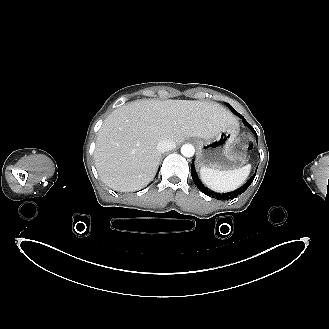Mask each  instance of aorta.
I'll return each mask as SVG.
<instances>
[{
	"label": "aorta",
	"mask_w": 329,
	"mask_h": 329,
	"mask_svg": "<svg viewBox=\"0 0 329 329\" xmlns=\"http://www.w3.org/2000/svg\"><path fill=\"white\" fill-rule=\"evenodd\" d=\"M195 153V148L191 144H184L181 147V154L185 157H192Z\"/></svg>",
	"instance_id": "1"
}]
</instances>
